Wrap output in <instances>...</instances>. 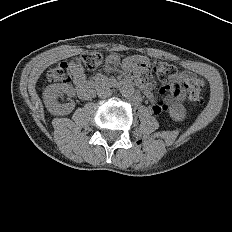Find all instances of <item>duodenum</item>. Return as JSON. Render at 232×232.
I'll use <instances>...</instances> for the list:
<instances>
[{
  "label": "duodenum",
  "instance_id": "duodenum-1",
  "mask_svg": "<svg viewBox=\"0 0 232 232\" xmlns=\"http://www.w3.org/2000/svg\"><path fill=\"white\" fill-rule=\"evenodd\" d=\"M110 85L113 86H125V85H133V86H141L143 90L146 89V83L145 82H141L138 79L134 78V77H129L127 79H124L122 81H118V82H111ZM78 94L80 95V97H82L83 99H89L91 97H93L94 93H95V85L93 83H85L83 85H81L78 89Z\"/></svg>",
  "mask_w": 232,
  "mask_h": 232
}]
</instances>
